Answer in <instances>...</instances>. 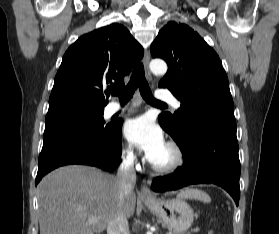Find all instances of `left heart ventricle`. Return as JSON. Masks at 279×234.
Listing matches in <instances>:
<instances>
[{
  "mask_svg": "<svg viewBox=\"0 0 279 234\" xmlns=\"http://www.w3.org/2000/svg\"><path fill=\"white\" fill-rule=\"evenodd\" d=\"M171 159V153L167 147H165L152 161L157 164H164Z\"/></svg>",
  "mask_w": 279,
  "mask_h": 234,
  "instance_id": "1",
  "label": "left heart ventricle"
}]
</instances>
